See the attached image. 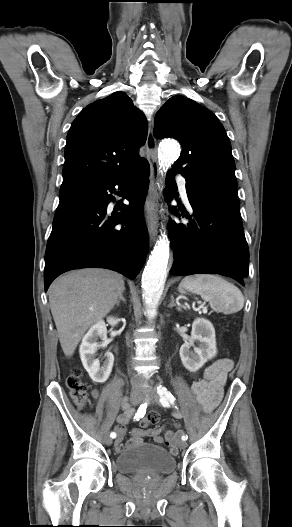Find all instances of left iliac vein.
<instances>
[{
  "instance_id": "obj_1",
  "label": "left iliac vein",
  "mask_w": 292,
  "mask_h": 527,
  "mask_svg": "<svg viewBox=\"0 0 292 527\" xmlns=\"http://www.w3.org/2000/svg\"><path fill=\"white\" fill-rule=\"evenodd\" d=\"M145 394H146V396L148 397V399H149L152 403H154V402L156 401V399L158 398L157 395H156V393L153 392V391H147ZM179 447H180L181 449L186 448V447H187V443H186V441H184V440L180 441V442H179Z\"/></svg>"
}]
</instances>
